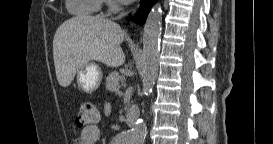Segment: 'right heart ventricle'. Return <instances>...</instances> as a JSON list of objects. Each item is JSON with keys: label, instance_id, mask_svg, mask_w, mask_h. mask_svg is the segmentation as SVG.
Listing matches in <instances>:
<instances>
[{"label": "right heart ventricle", "instance_id": "1", "mask_svg": "<svg viewBox=\"0 0 273 144\" xmlns=\"http://www.w3.org/2000/svg\"><path fill=\"white\" fill-rule=\"evenodd\" d=\"M102 0H67L66 7L74 16H89L98 13Z\"/></svg>", "mask_w": 273, "mask_h": 144}]
</instances>
